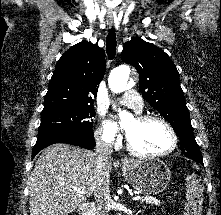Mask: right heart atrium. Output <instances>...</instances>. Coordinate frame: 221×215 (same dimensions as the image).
<instances>
[{
  "mask_svg": "<svg viewBox=\"0 0 221 215\" xmlns=\"http://www.w3.org/2000/svg\"><path fill=\"white\" fill-rule=\"evenodd\" d=\"M95 139L97 143L105 146H116L120 143V138L110 132H107L102 126L96 130Z\"/></svg>",
  "mask_w": 221,
  "mask_h": 215,
  "instance_id": "1",
  "label": "right heart atrium"
}]
</instances>
